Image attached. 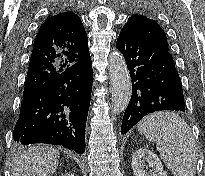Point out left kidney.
<instances>
[{
    "instance_id": "left-kidney-1",
    "label": "left kidney",
    "mask_w": 205,
    "mask_h": 176,
    "mask_svg": "<svg viewBox=\"0 0 205 176\" xmlns=\"http://www.w3.org/2000/svg\"><path fill=\"white\" fill-rule=\"evenodd\" d=\"M132 169L134 176H167L158 156L146 148L133 153Z\"/></svg>"
}]
</instances>
